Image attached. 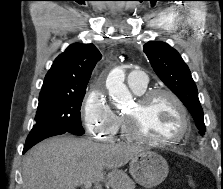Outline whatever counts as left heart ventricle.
I'll use <instances>...</instances> for the list:
<instances>
[{
    "label": "left heart ventricle",
    "mask_w": 223,
    "mask_h": 189,
    "mask_svg": "<svg viewBox=\"0 0 223 189\" xmlns=\"http://www.w3.org/2000/svg\"><path fill=\"white\" fill-rule=\"evenodd\" d=\"M127 114L135 115L141 133L151 138H175L181 130V114L166 96L156 98L143 109L136 103Z\"/></svg>",
    "instance_id": "b2bd125f"
}]
</instances>
